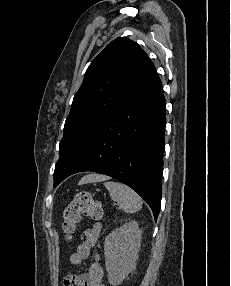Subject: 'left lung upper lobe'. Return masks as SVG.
I'll return each mask as SVG.
<instances>
[{
    "label": "left lung upper lobe",
    "mask_w": 231,
    "mask_h": 286,
    "mask_svg": "<svg viewBox=\"0 0 231 286\" xmlns=\"http://www.w3.org/2000/svg\"><path fill=\"white\" fill-rule=\"evenodd\" d=\"M154 70L140 46L125 37L113 40L91 62L64 125L54 187L93 129Z\"/></svg>",
    "instance_id": "5c2ea615"
}]
</instances>
